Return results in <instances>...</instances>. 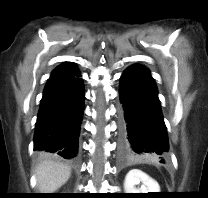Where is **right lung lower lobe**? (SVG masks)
Wrapping results in <instances>:
<instances>
[{"instance_id":"98d812e1","label":"right lung lower lobe","mask_w":208,"mask_h":198,"mask_svg":"<svg viewBox=\"0 0 208 198\" xmlns=\"http://www.w3.org/2000/svg\"><path fill=\"white\" fill-rule=\"evenodd\" d=\"M84 112V85L70 62L58 66L43 92L34 135V150L73 159L78 152Z\"/></svg>"}]
</instances>
